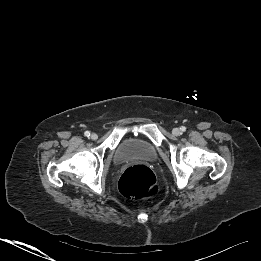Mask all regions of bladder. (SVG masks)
Listing matches in <instances>:
<instances>
[{"mask_svg":"<svg viewBox=\"0 0 261 261\" xmlns=\"http://www.w3.org/2000/svg\"><path fill=\"white\" fill-rule=\"evenodd\" d=\"M157 156L156 148L148 141L136 138L124 140L115 153V161L122 164L132 160L146 162L154 161Z\"/></svg>","mask_w":261,"mask_h":261,"instance_id":"31cf9c89","label":"bladder"}]
</instances>
